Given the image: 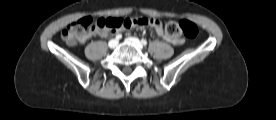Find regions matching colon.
Segmentation results:
<instances>
[{"mask_svg":"<svg viewBox=\"0 0 276 120\" xmlns=\"http://www.w3.org/2000/svg\"><path fill=\"white\" fill-rule=\"evenodd\" d=\"M153 18H91L85 17L69 24L62 32V39L69 45H75L87 35L95 32L119 30L132 26H151ZM165 32L171 37L183 34L189 39L198 35V27L189 20L169 21L165 25Z\"/></svg>","mask_w":276,"mask_h":120,"instance_id":"1","label":"colon"}]
</instances>
